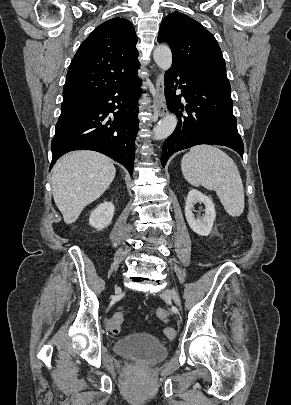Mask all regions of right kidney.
I'll return each mask as SVG.
<instances>
[{
  "instance_id": "ca27d5eb",
  "label": "right kidney",
  "mask_w": 291,
  "mask_h": 405,
  "mask_svg": "<svg viewBox=\"0 0 291 405\" xmlns=\"http://www.w3.org/2000/svg\"><path fill=\"white\" fill-rule=\"evenodd\" d=\"M114 215V205L112 202H103L93 210L89 217V224L101 230L107 227L113 218Z\"/></svg>"
}]
</instances>
